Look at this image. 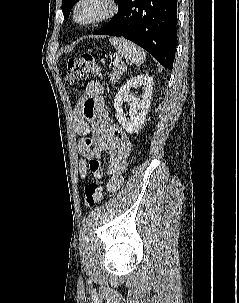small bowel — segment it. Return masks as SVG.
<instances>
[{
	"label": "small bowel",
	"instance_id": "small-bowel-1",
	"mask_svg": "<svg viewBox=\"0 0 239 303\" xmlns=\"http://www.w3.org/2000/svg\"><path fill=\"white\" fill-rule=\"evenodd\" d=\"M102 86L97 81L87 84L86 90L81 97L77 114L94 116L95 129L93 132V148H88L84 140H80L78 151L81 155L79 161V172L82 178L87 174V162L91 157L99 158L103 151L109 153L108 181L106 189L108 192H115L121 188L124 182V172L128 159L132 152V143L128 135L117 124L110 122V118L100 101ZM78 134L84 132L82 124L77 125Z\"/></svg>",
	"mask_w": 239,
	"mask_h": 303
}]
</instances>
